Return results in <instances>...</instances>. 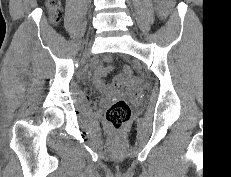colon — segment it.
<instances>
[{
  "mask_svg": "<svg viewBox=\"0 0 231 177\" xmlns=\"http://www.w3.org/2000/svg\"><path fill=\"white\" fill-rule=\"evenodd\" d=\"M170 0H156L158 9L164 13ZM45 5L50 13L53 22H58L60 15V0H45ZM127 80H132L133 71L130 66L124 65L122 68V74ZM131 117V107L129 103L124 99H116L108 107L106 111V120L108 124L115 130L122 128Z\"/></svg>",
  "mask_w": 231,
  "mask_h": 177,
  "instance_id": "colon-1",
  "label": "colon"
}]
</instances>
